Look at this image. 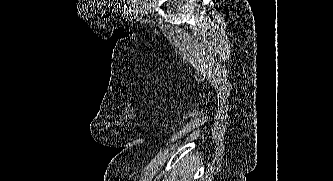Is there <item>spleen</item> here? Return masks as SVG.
<instances>
[{
    "label": "spleen",
    "instance_id": "1",
    "mask_svg": "<svg viewBox=\"0 0 333 181\" xmlns=\"http://www.w3.org/2000/svg\"><path fill=\"white\" fill-rule=\"evenodd\" d=\"M194 169L188 162H182L179 170V177L181 181H189V177L193 174Z\"/></svg>",
    "mask_w": 333,
    "mask_h": 181
}]
</instances>
